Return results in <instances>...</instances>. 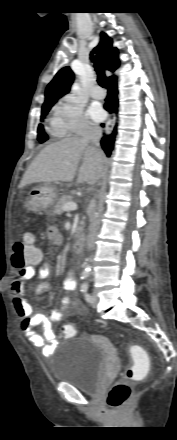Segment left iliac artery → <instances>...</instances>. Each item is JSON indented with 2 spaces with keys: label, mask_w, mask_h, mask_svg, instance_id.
<instances>
[{
  "label": "left iliac artery",
  "mask_w": 177,
  "mask_h": 440,
  "mask_svg": "<svg viewBox=\"0 0 177 440\" xmlns=\"http://www.w3.org/2000/svg\"><path fill=\"white\" fill-rule=\"evenodd\" d=\"M88 288H89L88 283H86V282L83 283L81 286V292L84 294L86 301L91 303V302H93L94 299H93L92 295H90L88 293Z\"/></svg>",
  "instance_id": "44dca946"
}]
</instances>
